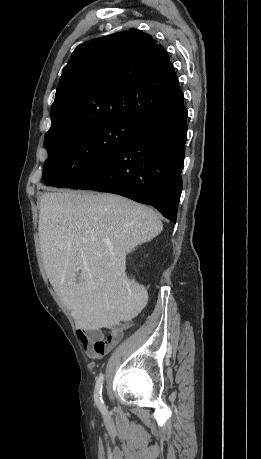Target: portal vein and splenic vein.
Here are the masks:
<instances>
[{
	"instance_id": "portal-vein-and-splenic-vein-1",
	"label": "portal vein and splenic vein",
	"mask_w": 261,
	"mask_h": 459,
	"mask_svg": "<svg viewBox=\"0 0 261 459\" xmlns=\"http://www.w3.org/2000/svg\"><path fill=\"white\" fill-rule=\"evenodd\" d=\"M84 242H88V240H87V239H84Z\"/></svg>"
}]
</instances>
